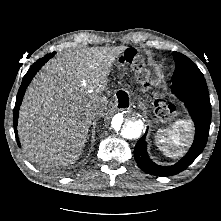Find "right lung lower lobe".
Segmentation results:
<instances>
[{
	"label": "right lung lower lobe",
	"mask_w": 221,
	"mask_h": 221,
	"mask_svg": "<svg viewBox=\"0 0 221 221\" xmlns=\"http://www.w3.org/2000/svg\"><path fill=\"white\" fill-rule=\"evenodd\" d=\"M55 54V52L47 54L46 56H44L43 58L37 60L28 70V72L26 73V75L23 77L22 79V84L20 86V89L18 91V95L16 98V103H15V107H14V115H13V120H14V129H15V136H16V140H17V144L18 146H20L19 143V138H18V134H17V119H18V111L22 102V98L23 95L25 93V90L27 88V86L29 85L31 79L35 76V74L37 73V71L51 58L53 57Z\"/></svg>",
	"instance_id": "obj_1"
}]
</instances>
